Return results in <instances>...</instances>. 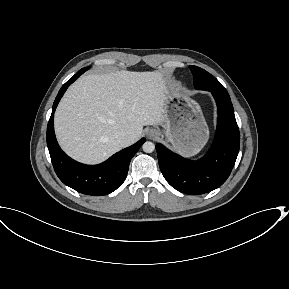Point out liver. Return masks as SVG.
Segmentation results:
<instances>
[{"label":"liver","instance_id":"obj_1","mask_svg":"<svg viewBox=\"0 0 289 289\" xmlns=\"http://www.w3.org/2000/svg\"><path fill=\"white\" fill-rule=\"evenodd\" d=\"M168 87L162 73L118 71L79 78L55 112L61 148L84 163H99L138 141L143 126L165 120ZM124 132L126 141L115 134Z\"/></svg>","mask_w":289,"mask_h":289}]
</instances>
